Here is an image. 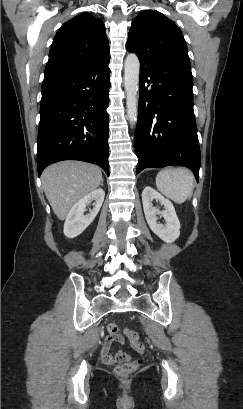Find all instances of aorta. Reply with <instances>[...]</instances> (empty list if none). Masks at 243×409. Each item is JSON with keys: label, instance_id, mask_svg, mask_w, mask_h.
<instances>
[{"label": "aorta", "instance_id": "obj_1", "mask_svg": "<svg viewBox=\"0 0 243 409\" xmlns=\"http://www.w3.org/2000/svg\"><path fill=\"white\" fill-rule=\"evenodd\" d=\"M140 62L136 54L127 55L124 62V86L126 92L127 116L131 125L138 119Z\"/></svg>", "mask_w": 243, "mask_h": 409}]
</instances>
